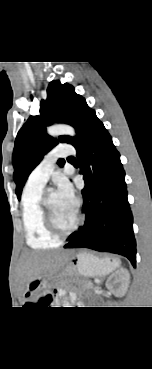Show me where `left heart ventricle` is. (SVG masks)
Returning <instances> with one entry per match:
<instances>
[{"instance_id": "1", "label": "left heart ventricle", "mask_w": 152, "mask_h": 369, "mask_svg": "<svg viewBox=\"0 0 152 369\" xmlns=\"http://www.w3.org/2000/svg\"><path fill=\"white\" fill-rule=\"evenodd\" d=\"M49 207L53 213L57 225L66 230L72 226L76 218V211L66 207L56 193H51L48 196Z\"/></svg>"}]
</instances>
